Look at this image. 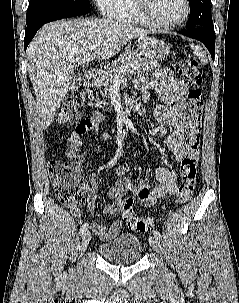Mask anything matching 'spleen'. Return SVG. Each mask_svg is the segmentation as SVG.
<instances>
[{
	"label": "spleen",
	"mask_w": 239,
	"mask_h": 303,
	"mask_svg": "<svg viewBox=\"0 0 239 303\" xmlns=\"http://www.w3.org/2000/svg\"><path fill=\"white\" fill-rule=\"evenodd\" d=\"M191 48L193 50V54L199 58L201 63L203 64L208 63L207 55L201 46L191 44Z\"/></svg>",
	"instance_id": "1"
}]
</instances>
